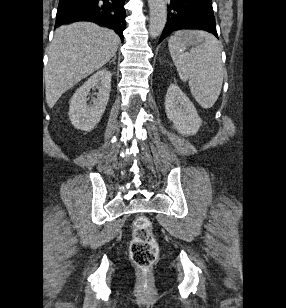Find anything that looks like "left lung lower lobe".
<instances>
[{"mask_svg":"<svg viewBox=\"0 0 286 308\" xmlns=\"http://www.w3.org/2000/svg\"><path fill=\"white\" fill-rule=\"evenodd\" d=\"M180 29L206 30L218 37L212 0H171L167 23L159 42Z\"/></svg>","mask_w":286,"mask_h":308,"instance_id":"obj_1","label":"left lung lower lobe"}]
</instances>
